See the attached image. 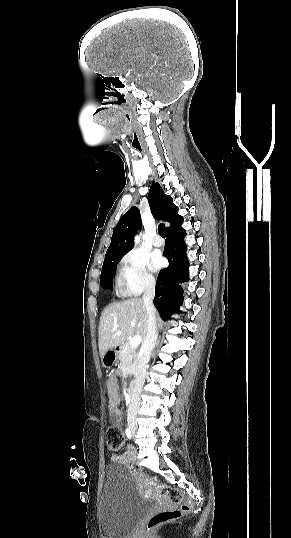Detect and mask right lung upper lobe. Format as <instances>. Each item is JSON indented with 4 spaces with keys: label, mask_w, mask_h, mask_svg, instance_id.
Here are the masks:
<instances>
[{
    "label": "right lung upper lobe",
    "mask_w": 291,
    "mask_h": 538,
    "mask_svg": "<svg viewBox=\"0 0 291 538\" xmlns=\"http://www.w3.org/2000/svg\"><path fill=\"white\" fill-rule=\"evenodd\" d=\"M148 200L154 218L170 223L166 232L182 224L183 217L178 215V207L174 205L171 196L164 193L159 183L152 184ZM140 228V211L134 206L117 223L104 262L122 258L128 253L133 248V236Z\"/></svg>",
    "instance_id": "right-lung-upper-lobe-1"
}]
</instances>
